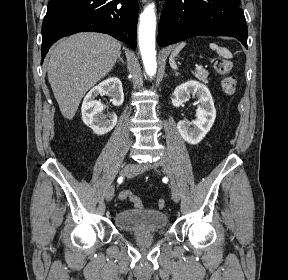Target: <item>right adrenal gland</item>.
I'll return each mask as SVG.
<instances>
[{
    "label": "right adrenal gland",
    "instance_id": "2a0ac1e0",
    "mask_svg": "<svg viewBox=\"0 0 288 280\" xmlns=\"http://www.w3.org/2000/svg\"><path fill=\"white\" fill-rule=\"evenodd\" d=\"M121 62L122 64H125V62H124V60H123V58L121 57V55L118 57V62Z\"/></svg>",
    "mask_w": 288,
    "mask_h": 280
}]
</instances>
